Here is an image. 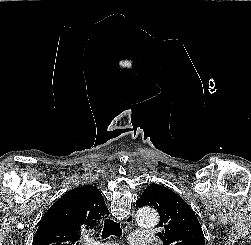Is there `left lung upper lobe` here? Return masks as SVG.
<instances>
[{
    "label": "left lung upper lobe",
    "instance_id": "obj_1",
    "mask_svg": "<svg viewBox=\"0 0 251 245\" xmlns=\"http://www.w3.org/2000/svg\"><path fill=\"white\" fill-rule=\"evenodd\" d=\"M152 206L160 214L156 227L163 245H205L201 225L190 206L172 190L158 185L148 186L136 206Z\"/></svg>",
    "mask_w": 251,
    "mask_h": 245
}]
</instances>
